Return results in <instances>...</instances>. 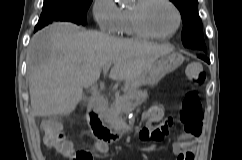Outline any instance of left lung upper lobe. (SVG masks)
I'll return each mask as SVG.
<instances>
[{
	"label": "left lung upper lobe",
	"instance_id": "obj_1",
	"mask_svg": "<svg viewBox=\"0 0 242 160\" xmlns=\"http://www.w3.org/2000/svg\"><path fill=\"white\" fill-rule=\"evenodd\" d=\"M179 9L182 21V42L187 48L207 53L197 0H170Z\"/></svg>",
	"mask_w": 242,
	"mask_h": 160
}]
</instances>
